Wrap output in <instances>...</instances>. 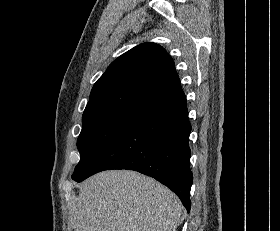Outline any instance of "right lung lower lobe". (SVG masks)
<instances>
[{"label": "right lung lower lobe", "instance_id": "98d812e1", "mask_svg": "<svg viewBox=\"0 0 280 231\" xmlns=\"http://www.w3.org/2000/svg\"><path fill=\"white\" fill-rule=\"evenodd\" d=\"M190 132L187 103L158 112L126 129L72 179L82 182L104 170H135L169 187L189 212L193 181Z\"/></svg>", "mask_w": 280, "mask_h": 231}]
</instances>
